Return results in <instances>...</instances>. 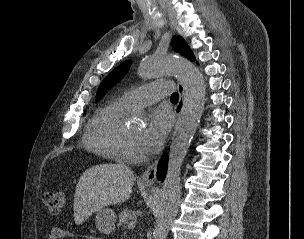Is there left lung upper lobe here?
<instances>
[{
  "label": "left lung upper lobe",
  "instance_id": "left-lung-upper-lobe-1",
  "mask_svg": "<svg viewBox=\"0 0 304 239\" xmlns=\"http://www.w3.org/2000/svg\"><path fill=\"white\" fill-rule=\"evenodd\" d=\"M172 47L173 49L188 58L189 60L194 61L195 57L191 51V49L188 47L184 39L180 36L176 37L174 36L172 39ZM131 65V60H127L120 64L117 68H115L109 75L106 76V78L102 81L100 84L98 90H97V95H96V100H100L106 93L107 91L115 85L126 73V71L129 69Z\"/></svg>",
  "mask_w": 304,
  "mask_h": 239
}]
</instances>
